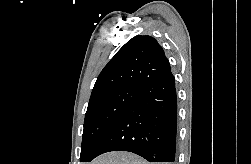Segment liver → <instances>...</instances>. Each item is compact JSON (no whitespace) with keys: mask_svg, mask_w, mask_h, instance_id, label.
I'll use <instances>...</instances> for the list:
<instances>
[{"mask_svg":"<svg viewBox=\"0 0 251 164\" xmlns=\"http://www.w3.org/2000/svg\"><path fill=\"white\" fill-rule=\"evenodd\" d=\"M90 164H149L141 157L128 152H110L96 158Z\"/></svg>","mask_w":251,"mask_h":164,"instance_id":"obj_1","label":"liver"}]
</instances>
